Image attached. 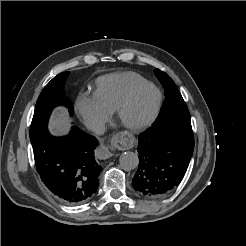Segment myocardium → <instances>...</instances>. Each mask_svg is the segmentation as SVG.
I'll return each mask as SVG.
<instances>
[{
  "label": "myocardium",
  "instance_id": "1",
  "mask_svg": "<svg viewBox=\"0 0 246 246\" xmlns=\"http://www.w3.org/2000/svg\"><path fill=\"white\" fill-rule=\"evenodd\" d=\"M146 90H152L155 94L151 109L147 116L138 122H130L125 119V112L134 99ZM162 102V93L160 89L152 82H146L131 90L118 104L115 109L116 118L119 123L126 129L138 132L149 127L156 119Z\"/></svg>",
  "mask_w": 246,
  "mask_h": 246
}]
</instances>
